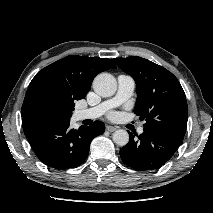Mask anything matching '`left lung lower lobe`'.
I'll return each instance as SVG.
<instances>
[{"label": "left lung lower lobe", "instance_id": "0a47b994", "mask_svg": "<svg viewBox=\"0 0 213 213\" xmlns=\"http://www.w3.org/2000/svg\"><path fill=\"white\" fill-rule=\"evenodd\" d=\"M129 136L128 144L120 149V157L126 165L136 170L159 168L173 156L182 141L169 134L147 129L139 136L135 133H129Z\"/></svg>", "mask_w": 213, "mask_h": 213}]
</instances>
